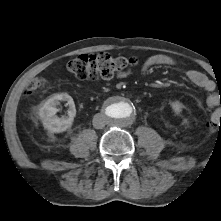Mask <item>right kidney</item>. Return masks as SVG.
<instances>
[{"label": "right kidney", "instance_id": "ca27d5eb", "mask_svg": "<svg viewBox=\"0 0 221 221\" xmlns=\"http://www.w3.org/2000/svg\"><path fill=\"white\" fill-rule=\"evenodd\" d=\"M60 101H66L68 108V116L58 117L56 115L58 109L57 105ZM76 115V108L73 98L67 93L55 94L50 97L39 110V116L42 120L43 126L51 133H61L72 126L74 117Z\"/></svg>", "mask_w": 221, "mask_h": 221}]
</instances>
